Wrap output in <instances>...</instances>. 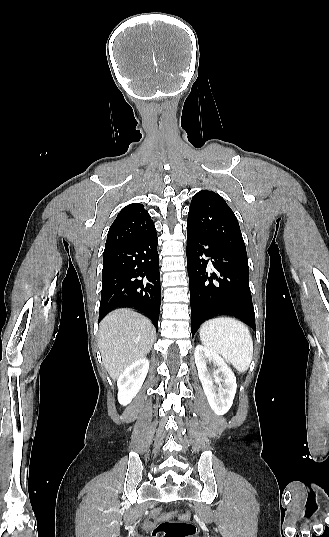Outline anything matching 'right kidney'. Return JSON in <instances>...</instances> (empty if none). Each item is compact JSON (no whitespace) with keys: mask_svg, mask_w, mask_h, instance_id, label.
Returning a JSON list of instances; mask_svg holds the SVG:
<instances>
[{"mask_svg":"<svg viewBox=\"0 0 329 537\" xmlns=\"http://www.w3.org/2000/svg\"><path fill=\"white\" fill-rule=\"evenodd\" d=\"M148 369L149 361L146 358H141L123 371L117 381L119 389L118 401L120 404H129L137 395L148 373Z\"/></svg>","mask_w":329,"mask_h":537,"instance_id":"right-kidney-1","label":"right kidney"}]
</instances>
